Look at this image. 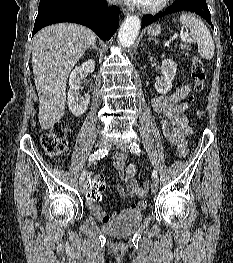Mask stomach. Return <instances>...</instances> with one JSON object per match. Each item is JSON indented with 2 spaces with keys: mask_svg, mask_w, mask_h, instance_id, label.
I'll list each match as a JSON object with an SVG mask.
<instances>
[{
  "mask_svg": "<svg viewBox=\"0 0 233 263\" xmlns=\"http://www.w3.org/2000/svg\"><path fill=\"white\" fill-rule=\"evenodd\" d=\"M147 33L151 37H156L161 33V26L158 24H152L149 26Z\"/></svg>",
  "mask_w": 233,
  "mask_h": 263,
  "instance_id": "0dacf381",
  "label": "stomach"
}]
</instances>
